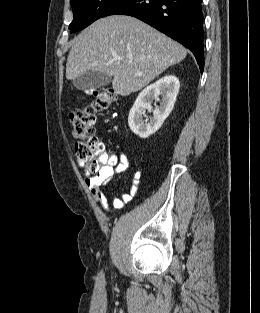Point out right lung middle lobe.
<instances>
[{
	"instance_id": "obj_1",
	"label": "right lung middle lobe",
	"mask_w": 260,
	"mask_h": 313,
	"mask_svg": "<svg viewBox=\"0 0 260 313\" xmlns=\"http://www.w3.org/2000/svg\"><path fill=\"white\" fill-rule=\"evenodd\" d=\"M119 0H70L74 18L69 25L70 32L80 31L89 26Z\"/></svg>"
}]
</instances>
